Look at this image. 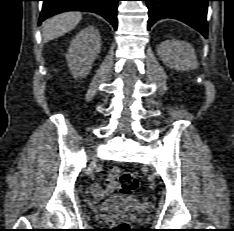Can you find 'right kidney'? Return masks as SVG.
I'll list each match as a JSON object with an SVG mask.
<instances>
[{"label": "right kidney", "mask_w": 234, "mask_h": 231, "mask_svg": "<svg viewBox=\"0 0 234 231\" xmlns=\"http://www.w3.org/2000/svg\"><path fill=\"white\" fill-rule=\"evenodd\" d=\"M101 37L94 26L80 31L71 41L66 60L74 78L85 77L100 53Z\"/></svg>", "instance_id": "right-kidney-1"}]
</instances>
